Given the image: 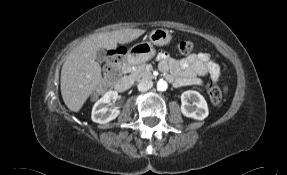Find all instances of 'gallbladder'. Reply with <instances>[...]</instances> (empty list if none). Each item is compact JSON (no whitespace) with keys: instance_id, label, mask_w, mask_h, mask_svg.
Listing matches in <instances>:
<instances>
[{"instance_id":"1","label":"gallbladder","mask_w":287,"mask_h":175,"mask_svg":"<svg viewBox=\"0 0 287 175\" xmlns=\"http://www.w3.org/2000/svg\"><path fill=\"white\" fill-rule=\"evenodd\" d=\"M106 59V52L104 49H99L96 53V60L99 63H103Z\"/></svg>"}]
</instances>
